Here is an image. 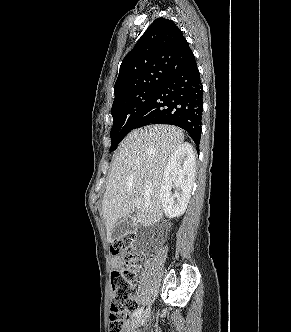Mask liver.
<instances>
[{
  "label": "liver",
  "mask_w": 291,
  "mask_h": 332,
  "mask_svg": "<svg viewBox=\"0 0 291 332\" xmlns=\"http://www.w3.org/2000/svg\"><path fill=\"white\" fill-rule=\"evenodd\" d=\"M182 130L170 125H150L130 132L114 155L102 200L107 240L121 218L130 216L135 227L153 226L162 216L160 189L167 163L183 143ZM139 204L136 205L135 201Z\"/></svg>",
  "instance_id": "obj_1"
}]
</instances>
